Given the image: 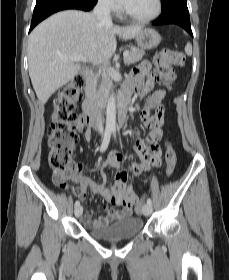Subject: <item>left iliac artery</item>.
I'll return each mask as SVG.
<instances>
[{
	"instance_id": "obj_1",
	"label": "left iliac artery",
	"mask_w": 229,
	"mask_h": 280,
	"mask_svg": "<svg viewBox=\"0 0 229 280\" xmlns=\"http://www.w3.org/2000/svg\"><path fill=\"white\" fill-rule=\"evenodd\" d=\"M114 138L116 139V131L113 130ZM147 204L152 205V200L150 198L147 199Z\"/></svg>"
}]
</instances>
